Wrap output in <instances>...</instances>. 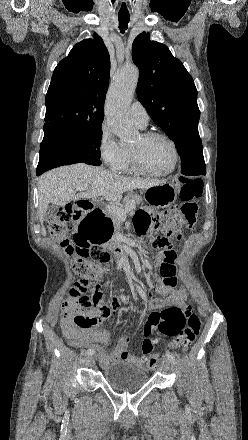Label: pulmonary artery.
<instances>
[{"mask_svg": "<svg viewBox=\"0 0 248 440\" xmlns=\"http://www.w3.org/2000/svg\"><path fill=\"white\" fill-rule=\"evenodd\" d=\"M131 116L135 124L140 128H145L149 122V115L145 107L139 102L135 101L130 108Z\"/></svg>", "mask_w": 248, "mask_h": 440, "instance_id": "pulmonary-artery-1", "label": "pulmonary artery"}]
</instances>
